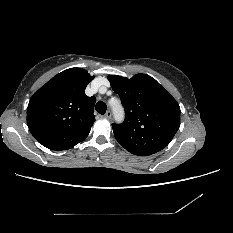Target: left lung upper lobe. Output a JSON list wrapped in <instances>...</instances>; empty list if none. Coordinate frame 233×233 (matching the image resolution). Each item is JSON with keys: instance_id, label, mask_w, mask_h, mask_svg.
<instances>
[{"instance_id": "left-lung-upper-lobe-1", "label": "left lung upper lobe", "mask_w": 233, "mask_h": 233, "mask_svg": "<svg viewBox=\"0 0 233 233\" xmlns=\"http://www.w3.org/2000/svg\"><path fill=\"white\" fill-rule=\"evenodd\" d=\"M108 80L126 114L122 124H112L118 143L139 156L165 148L180 126V107L172 95L146 74L131 79L111 75Z\"/></svg>"}]
</instances>
